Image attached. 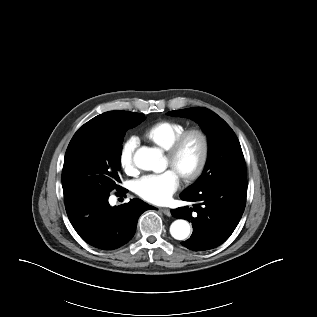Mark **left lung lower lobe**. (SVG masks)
<instances>
[{
	"instance_id": "left-lung-lower-lobe-1",
	"label": "left lung lower lobe",
	"mask_w": 317,
	"mask_h": 317,
	"mask_svg": "<svg viewBox=\"0 0 317 317\" xmlns=\"http://www.w3.org/2000/svg\"><path fill=\"white\" fill-rule=\"evenodd\" d=\"M246 195V180L218 182L200 191L182 192V200L195 202L193 208L171 210L175 218L192 222L193 233L182 245L193 251H204L224 243L242 217Z\"/></svg>"
}]
</instances>
